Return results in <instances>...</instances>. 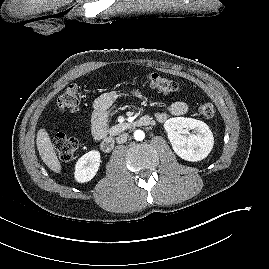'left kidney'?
<instances>
[{
	"instance_id": "left-kidney-1",
	"label": "left kidney",
	"mask_w": 269,
	"mask_h": 269,
	"mask_svg": "<svg viewBox=\"0 0 269 269\" xmlns=\"http://www.w3.org/2000/svg\"><path fill=\"white\" fill-rule=\"evenodd\" d=\"M164 128L174 152L186 161L203 160L213 148V134L208 125L200 120L184 117L171 118L165 122ZM190 129L194 130L195 134L182 135Z\"/></svg>"
}]
</instances>
